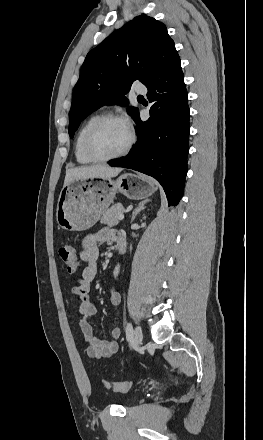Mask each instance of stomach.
<instances>
[{
  "instance_id": "stomach-1",
  "label": "stomach",
  "mask_w": 263,
  "mask_h": 440,
  "mask_svg": "<svg viewBox=\"0 0 263 440\" xmlns=\"http://www.w3.org/2000/svg\"><path fill=\"white\" fill-rule=\"evenodd\" d=\"M157 187L153 180L125 173L117 180L74 179L59 195L56 220L67 231H84L92 227L113 203L117 192L129 199L151 196Z\"/></svg>"
}]
</instances>
